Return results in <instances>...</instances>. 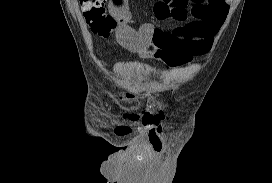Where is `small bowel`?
I'll use <instances>...</instances> for the list:
<instances>
[{
    "label": "small bowel",
    "instance_id": "small-bowel-1",
    "mask_svg": "<svg viewBox=\"0 0 272 183\" xmlns=\"http://www.w3.org/2000/svg\"><path fill=\"white\" fill-rule=\"evenodd\" d=\"M228 9L229 0H158L154 7L156 17L170 23L166 31H158L149 22L136 26L126 6L116 41L141 57H159L172 66L184 65L193 56L211 49ZM111 10L115 13L112 6ZM143 113L129 112L123 118L138 122L143 120Z\"/></svg>",
    "mask_w": 272,
    "mask_h": 183
}]
</instances>
